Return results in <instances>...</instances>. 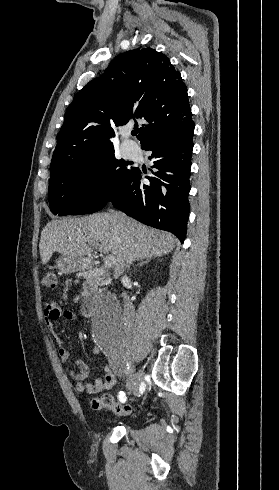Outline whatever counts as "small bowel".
<instances>
[{
	"label": "small bowel",
	"mask_w": 279,
	"mask_h": 490,
	"mask_svg": "<svg viewBox=\"0 0 279 490\" xmlns=\"http://www.w3.org/2000/svg\"><path fill=\"white\" fill-rule=\"evenodd\" d=\"M75 321L77 315L75 312L62 308L55 302H48L43 309V321L44 325L51 329L54 322L58 320ZM55 340L58 345V355L63 362L69 361L71 353L68 348L64 346L63 340L60 336L55 335ZM90 373L89 366L83 360H76L74 362V368L70 371L69 378L75 383V389L82 394H98L105 390H110L115 384V377L109 367L104 369L103 377L98 379L95 383H86L85 379Z\"/></svg>",
	"instance_id": "c3829d8e"
}]
</instances>
